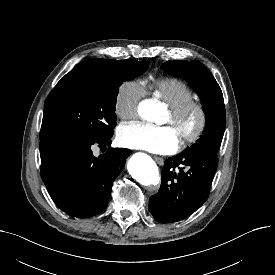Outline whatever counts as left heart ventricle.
Here are the masks:
<instances>
[{"label": "left heart ventricle", "instance_id": "1", "mask_svg": "<svg viewBox=\"0 0 275 275\" xmlns=\"http://www.w3.org/2000/svg\"><path fill=\"white\" fill-rule=\"evenodd\" d=\"M197 121H198L197 115L190 114L179 124H172L170 114L168 113V115L164 120V124L169 125L174 130L176 136L180 140L185 134L189 133L195 128Z\"/></svg>", "mask_w": 275, "mask_h": 275}]
</instances>
